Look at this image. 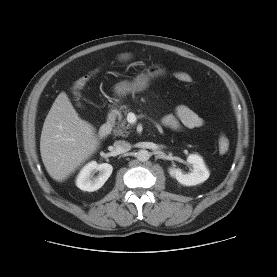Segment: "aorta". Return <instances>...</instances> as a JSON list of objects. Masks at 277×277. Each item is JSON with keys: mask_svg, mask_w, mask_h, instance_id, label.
I'll list each match as a JSON object with an SVG mask.
<instances>
[{"mask_svg": "<svg viewBox=\"0 0 277 277\" xmlns=\"http://www.w3.org/2000/svg\"><path fill=\"white\" fill-rule=\"evenodd\" d=\"M150 155L149 152L146 150H140L137 152V158L139 161H147L149 159Z\"/></svg>", "mask_w": 277, "mask_h": 277, "instance_id": "762f6f07", "label": "aorta"}]
</instances>
